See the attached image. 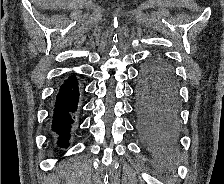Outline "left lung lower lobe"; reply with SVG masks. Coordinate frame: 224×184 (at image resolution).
Wrapping results in <instances>:
<instances>
[{"instance_id":"obj_1","label":"left lung lower lobe","mask_w":224,"mask_h":184,"mask_svg":"<svg viewBox=\"0 0 224 184\" xmlns=\"http://www.w3.org/2000/svg\"><path fill=\"white\" fill-rule=\"evenodd\" d=\"M137 129L151 146L167 149L179 136L178 85L173 71L150 58L141 68L136 87Z\"/></svg>"}]
</instances>
